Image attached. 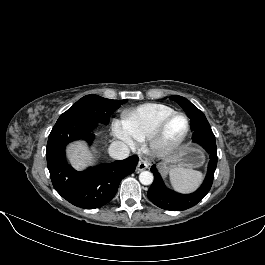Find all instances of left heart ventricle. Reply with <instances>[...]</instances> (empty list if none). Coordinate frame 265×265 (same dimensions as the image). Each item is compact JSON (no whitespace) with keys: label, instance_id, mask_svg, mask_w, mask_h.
<instances>
[{"label":"left heart ventricle","instance_id":"1","mask_svg":"<svg viewBox=\"0 0 265 265\" xmlns=\"http://www.w3.org/2000/svg\"><path fill=\"white\" fill-rule=\"evenodd\" d=\"M186 127V121L181 116H174L168 123L163 138L167 142L178 139L184 132Z\"/></svg>","mask_w":265,"mask_h":265}]
</instances>
